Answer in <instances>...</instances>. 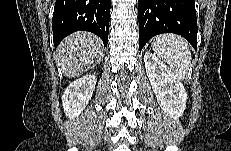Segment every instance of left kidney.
Segmentation results:
<instances>
[{
  "label": "left kidney",
  "mask_w": 231,
  "mask_h": 151,
  "mask_svg": "<svg viewBox=\"0 0 231 151\" xmlns=\"http://www.w3.org/2000/svg\"><path fill=\"white\" fill-rule=\"evenodd\" d=\"M144 63L152 89L162 111L170 118H179L187 102V92L174 73L155 55L146 52Z\"/></svg>",
  "instance_id": "1"
}]
</instances>
